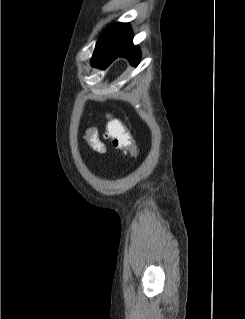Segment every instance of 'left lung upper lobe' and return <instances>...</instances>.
<instances>
[{"label": "left lung upper lobe", "mask_w": 245, "mask_h": 319, "mask_svg": "<svg viewBox=\"0 0 245 319\" xmlns=\"http://www.w3.org/2000/svg\"><path fill=\"white\" fill-rule=\"evenodd\" d=\"M127 23H116L107 29L99 38L96 44V50L112 49L118 42L119 38L127 28Z\"/></svg>", "instance_id": "obj_1"}]
</instances>
